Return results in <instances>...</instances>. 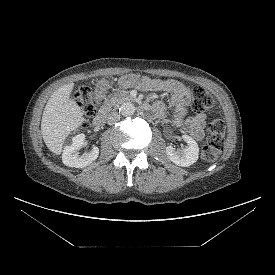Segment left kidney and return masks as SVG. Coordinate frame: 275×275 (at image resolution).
<instances>
[{"instance_id":"5707ae66","label":"left kidney","mask_w":275,"mask_h":275,"mask_svg":"<svg viewBox=\"0 0 275 275\" xmlns=\"http://www.w3.org/2000/svg\"><path fill=\"white\" fill-rule=\"evenodd\" d=\"M182 138L187 143V147L183 150H176L169 145L166 147V154L174 164L187 167L198 160L199 148L196 141L189 135H183Z\"/></svg>"}]
</instances>
